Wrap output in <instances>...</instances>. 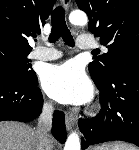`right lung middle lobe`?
<instances>
[{
    "label": "right lung middle lobe",
    "instance_id": "right-lung-middle-lobe-1",
    "mask_svg": "<svg viewBox=\"0 0 139 150\" xmlns=\"http://www.w3.org/2000/svg\"><path fill=\"white\" fill-rule=\"evenodd\" d=\"M30 52L0 46V75H8L23 81L35 80L36 73L31 70Z\"/></svg>",
    "mask_w": 139,
    "mask_h": 150
}]
</instances>
